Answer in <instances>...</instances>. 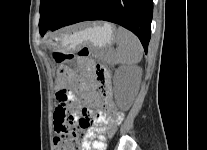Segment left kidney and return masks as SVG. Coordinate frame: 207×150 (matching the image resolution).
Returning a JSON list of instances; mask_svg holds the SVG:
<instances>
[{
  "mask_svg": "<svg viewBox=\"0 0 207 150\" xmlns=\"http://www.w3.org/2000/svg\"><path fill=\"white\" fill-rule=\"evenodd\" d=\"M142 70L138 66H121L114 77L115 102L121 111H127L139 91Z\"/></svg>",
  "mask_w": 207,
  "mask_h": 150,
  "instance_id": "5707ae66",
  "label": "left kidney"
}]
</instances>
